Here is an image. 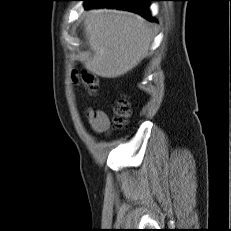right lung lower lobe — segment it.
<instances>
[{
    "mask_svg": "<svg viewBox=\"0 0 231 231\" xmlns=\"http://www.w3.org/2000/svg\"><path fill=\"white\" fill-rule=\"evenodd\" d=\"M88 2L86 8L110 7L133 11L142 16L152 19L148 10L147 1L152 0H82Z\"/></svg>",
    "mask_w": 231,
    "mask_h": 231,
    "instance_id": "98d812e1",
    "label": "right lung lower lobe"
}]
</instances>
